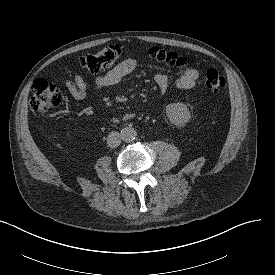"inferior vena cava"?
Listing matches in <instances>:
<instances>
[{"mask_svg":"<svg viewBox=\"0 0 275 275\" xmlns=\"http://www.w3.org/2000/svg\"><path fill=\"white\" fill-rule=\"evenodd\" d=\"M121 143V135L118 132H111L107 137V144L111 148H116Z\"/></svg>","mask_w":275,"mask_h":275,"instance_id":"602c4592","label":"inferior vena cava"}]
</instances>
